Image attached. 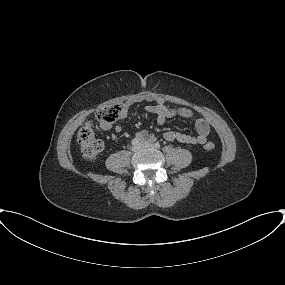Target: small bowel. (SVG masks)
Masks as SVG:
<instances>
[{"mask_svg": "<svg viewBox=\"0 0 285 285\" xmlns=\"http://www.w3.org/2000/svg\"><path fill=\"white\" fill-rule=\"evenodd\" d=\"M149 102V104L145 107V111L149 114H153L156 118L158 124L162 125L166 122L167 119L179 115L184 118H194L195 120V129L196 135L178 132V131H167L164 133L163 137L166 141H177L183 144H204L207 141L208 135L210 133V125L209 123L200 117H196L193 112L186 108H169L165 105L163 99L153 94H142L135 95L123 102L124 112L122 114V118H126L129 109L140 102ZM101 128L107 130L110 128V125L100 124ZM122 128L120 125L115 126V132L120 133ZM136 138L140 141L149 140L154 141L155 136L148 131H141L137 133Z\"/></svg>", "mask_w": 285, "mask_h": 285, "instance_id": "c3829d8e", "label": "small bowel"}]
</instances>
